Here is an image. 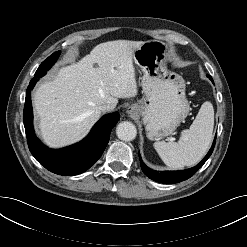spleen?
I'll return each mask as SVG.
<instances>
[{
  "label": "spleen",
  "instance_id": "spleen-1",
  "mask_svg": "<svg viewBox=\"0 0 247 247\" xmlns=\"http://www.w3.org/2000/svg\"><path fill=\"white\" fill-rule=\"evenodd\" d=\"M214 127L213 105L202 104L189 129L181 132L178 142L157 141L154 148L162 161L171 169H180L198 163L207 153Z\"/></svg>",
  "mask_w": 247,
  "mask_h": 247
}]
</instances>
